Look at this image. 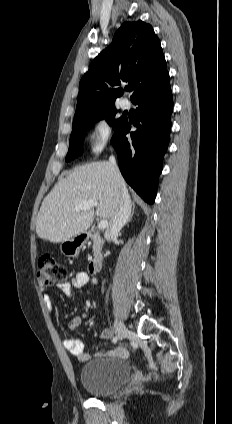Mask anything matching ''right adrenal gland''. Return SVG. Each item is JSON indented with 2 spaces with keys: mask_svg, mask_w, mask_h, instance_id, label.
<instances>
[{
  "mask_svg": "<svg viewBox=\"0 0 232 424\" xmlns=\"http://www.w3.org/2000/svg\"><path fill=\"white\" fill-rule=\"evenodd\" d=\"M134 210H135V205H134V203H133V209H132V212H131V214H130V216H129V219H128L127 223H129V222L132 220L133 215H134Z\"/></svg>",
  "mask_w": 232,
  "mask_h": 424,
  "instance_id": "right-adrenal-gland-1",
  "label": "right adrenal gland"
}]
</instances>
